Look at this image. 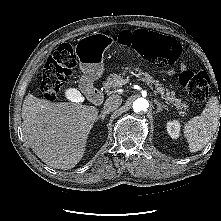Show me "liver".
<instances>
[{
	"instance_id": "1",
	"label": "liver",
	"mask_w": 221,
	"mask_h": 221,
	"mask_svg": "<svg viewBox=\"0 0 221 221\" xmlns=\"http://www.w3.org/2000/svg\"><path fill=\"white\" fill-rule=\"evenodd\" d=\"M97 115L94 106L54 103L29 93L22 105L23 133L44 163L67 170L83 157Z\"/></svg>"
}]
</instances>
